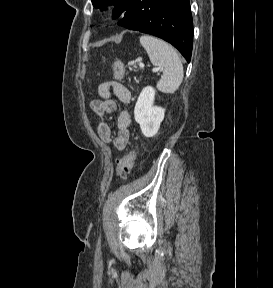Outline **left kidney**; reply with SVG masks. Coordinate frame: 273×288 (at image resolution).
<instances>
[{
    "label": "left kidney",
    "mask_w": 273,
    "mask_h": 288,
    "mask_svg": "<svg viewBox=\"0 0 273 288\" xmlns=\"http://www.w3.org/2000/svg\"><path fill=\"white\" fill-rule=\"evenodd\" d=\"M155 93L151 86L143 88L134 109L135 121L140 125L142 134L148 138L157 134L165 114L164 108L154 106Z\"/></svg>",
    "instance_id": "1"
}]
</instances>
